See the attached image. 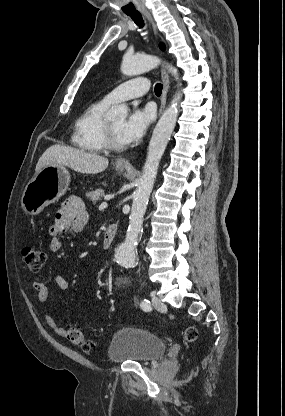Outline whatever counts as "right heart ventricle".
<instances>
[{"label":"right heart ventricle","instance_id":"obj_1","mask_svg":"<svg viewBox=\"0 0 285 416\" xmlns=\"http://www.w3.org/2000/svg\"><path fill=\"white\" fill-rule=\"evenodd\" d=\"M107 102L96 100L90 103L75 121L71 143L87 154H100L105 151L103 123Z\"/></svg>","mask_w":285,"mask_h":416}]
</instances>
